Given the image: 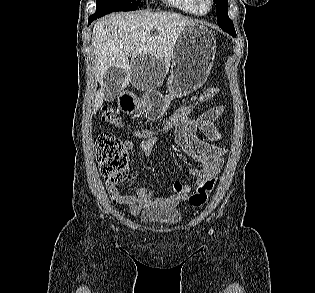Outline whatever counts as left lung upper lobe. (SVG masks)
<instances>
[{
	"label": "left lung upper lobe",
	"instance_id": "left-lung-upper-lobe-1",
	"mask_svg": "<svg viewBox=\"0 0 315 293\" xmlns=\"http://www.w3.org/2000/svg\"><path fill=\"white\" fill-rule=\"evenodd\" d=\"M217 6V23L222 30L226 31L233 37L236 36L232 20L228 17V0H213Z\"/></svg>",
	"mask_w": 315,
	"mask_h": 293
}]
</instances>
